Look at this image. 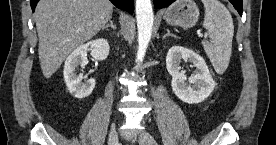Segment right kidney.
I'll return each mask as SVG.
<instances>
[{
	"mask_svg": "<svg viewBox=\"0 0 276 145\" xmlns=\"http://www.w3.org/2000/svg\"><path fill=\"white\" fill-rule=\"evenodd\" d=\"M91 46V55L95 60H105L109 54V43L106 39L100 38L90 41L77 47L66 59L64 64V80L69 92L76 98L88 97L94 90L96 81L91 78L82 83L83 76L76 75L75 69L88 63L87 51Z\"/></svg>",
	"mask_w": 276,
	"mask_h": 145,
	"instance_id": "obj_1",
	"label": "right kidney"
}]
</instances>
